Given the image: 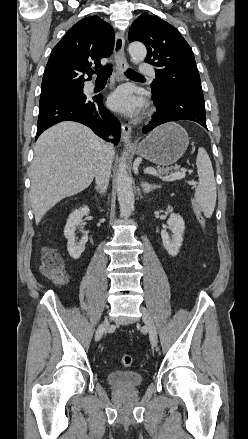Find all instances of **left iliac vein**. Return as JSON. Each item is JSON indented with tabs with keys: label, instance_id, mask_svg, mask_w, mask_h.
I'll return each mask as SVG.
<instances>
[{
	"label": "left iliac vein",
	"instance_id": "4c4485c4",
	"mask_svg": "<svg viewBox=\"0 0 248 439\" xmlns=\"http://www.w3.org/2000/svg\"><path fill=\"white\" fill-rule=\"evenodd\" d=\"M140 311L142 313V320L149 333L150 342L153 347H156L158 342V335L154 321L147 309L141 307Z\"/></svg>",
	"mask_w": 248,
	"mask_h": 439
}]
</instances>
